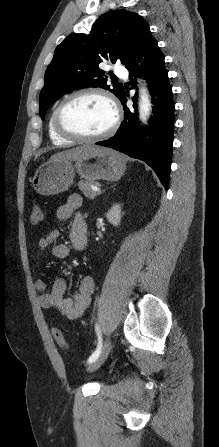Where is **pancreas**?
I'll use <instances>...</instances> for the list:
<instances>
[{
  "label": "pancreas",
  "instance_id": "pancreas-1",
  "mask_svg": "<svg viewBox=\"0 0 219 447\" xmlns=\"http://www.w3.org/2000/svg\"><path fill=\"white\" fill-rule=\"evenodd\" d=\"M92 185H98V182H91V181H79L78 182V187L79 189L83 192L84 196L90 199H94L98 193L94 192L91 188Z\"/></svg>",
  "mask_w": 219,
  "mask_h": 447
}]
</instances>
